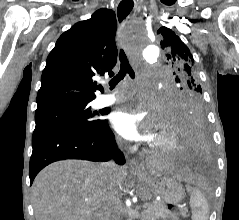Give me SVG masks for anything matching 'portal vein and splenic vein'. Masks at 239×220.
<instances>
[{
	"mask_svg": "<svg viewBox=\"0 0 239 220\" xmlns=\"http://www.w3.org/2000/svg\"><path fill=\"white\" fill-rule=\"evenodd\" d=\"M148 206H149V203H144V204L142 205L143 209L147 208Z\"/></svg>",
	"mask_w": 239,
	"mask_h": 220,
	"instance_id": "obj_1",
	"label": "portal vein and splenic vein"
}]
</instances>
